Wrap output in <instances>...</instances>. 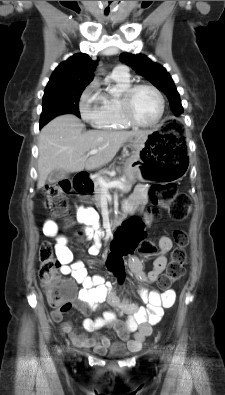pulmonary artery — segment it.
<instances>
[{
    "mask_svg": "<svg viewBox=\"0 0 225 395\" xmlns=\"http://www.w3.org/2000/svg\"><path fill=\"white\" fill-rule=\"evenodd\" d=\"M112 74L126 78L129 77V70L125 65H118L113 69Z\"/></svg>",
    "mask_w": 225,
    "mask_h": 395,
    "instance_id": "e3ab8cb5",
    "label": "pulmonary artery"
}]
</instances>
